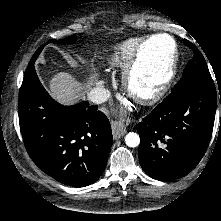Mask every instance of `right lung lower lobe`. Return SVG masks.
Instances as JSON below:
<instances>
[{"mask_svg":"<svg viewBox=\"0 0 221 221\" xmlns=\"http://www.w3.org/2000/svg\"><path fill=\"white\" fill-rule=\"evenodd\" d=\"M18 111L26 150L42 171L73 187L99 179L113 137L109 120L96 105H60L43 88L33 66L23 79Z\"/></svg>","mask_w":221,"mask_h":221,"instance_id":"obj_1","label":"right lung lower lobe"}]
</instances>
